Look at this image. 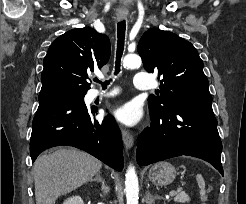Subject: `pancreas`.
Returning <instances> with one entry per match:
<instances>
[{"instance_id":"pancreas-1","label":"pancreas","mask_w":246,"mask_h":204,"mask_svg":"<svg viewBox=\"0 0 246 204\" xmlns=\"http://www.w3.org/2000/svg\"><path fill=\"white\" fill-rule=\"evenodd\" d=\"M175 201L180 203H188L190 198L186 193H180L175 197Z\"/></svg>"}]
</instances>
